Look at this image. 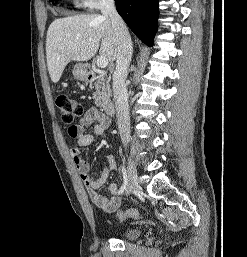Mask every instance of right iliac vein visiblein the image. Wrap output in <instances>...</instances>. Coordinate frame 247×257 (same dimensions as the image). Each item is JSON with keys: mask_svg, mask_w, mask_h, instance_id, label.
Listing matches in <instances>:
<instances>
[{"mask_svg": "<svg viewBox=\"0 0 247 257\" xmlns=\"http://www.w3.org/2000/svg\"><path fill=\"white\" fill-rule=\"evenodd\" d=\"M127 178H128V184H127L126 194L129 195L133 189L138 187L136 169L131 159H128Z\"/></svg>", "mask_w": 247, "mask_h": 257, "instance_id": "1", "label": "right iliac vein"}]
</instances>
